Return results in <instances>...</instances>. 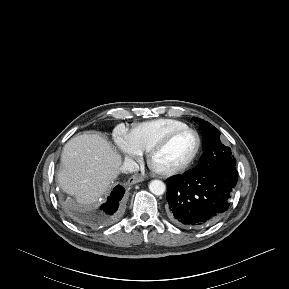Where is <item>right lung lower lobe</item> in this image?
Masks as SVG:
<instances>
[{"label":"right lung lower lobe","instance_id":"1","mask_svg":"<svg viewBox=\"0 0 289 289\" xmlns=\"http://www.w3.org/2000/svg\"><path fill=\"white\" fill-rule=\"evenodd\" d=\"M124 192L125 190L122 186H116L113 189L106 204L102 205L100 210L93 215L94 221L97 224L109 225L116 220L119 214V203Z\"/></svg>","mask_w":289,"mask_h":289}]
</instances>
